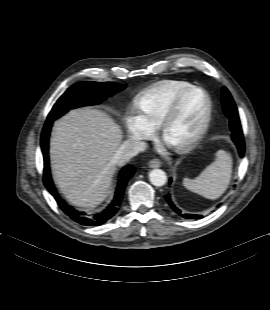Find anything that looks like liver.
<instances>
[{
  "label": "liver",
  "mask_w": 270,
  "mask_h": 310,
  "mask_svg": "<svg viewBox=\"0 0 270 310\" xmlns=\"http://www.w3.org/2000/svg\"><path fill=\"white\" fill-rule=\"evenodd\" d=\"M122 131L105 112L91 107L71 110L54 123L50 161L55 183L69 203L95 207L108 193Z\"/></svg>",
  "instance_id": "1"
}]
</instances>
